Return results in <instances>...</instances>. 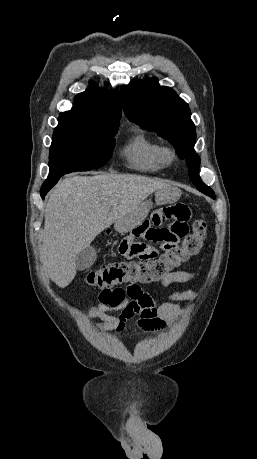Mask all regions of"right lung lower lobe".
<instances>
[{
    "label": "right lung lower lobe",
    "mask_w": 257,
    "mask_h": 459,
    "mask_svg": "<svg viewBox=\"0 0 257 459\" xmlns=\"http://www.w3.org/2000/svg\"><path fill=\"white\" fill-rule=\"evenodd\" d=\"M62 175L59 176H54V177H48V179L44 182L41 188V197L44 199L45 195L47 192L58 182V180L61 178Z\"/></svg>",
    "instance_id": "98d812e1"
}]
</instances>
